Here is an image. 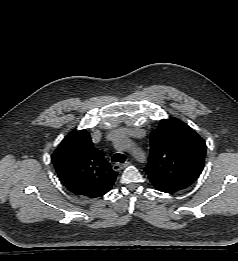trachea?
I'll return each instance as SVG.
<instances>
[{"mask_svg":"<svg viewBox=\"0 0 238 261\" xmlns=\"http://www.w3.org/2000/svg\"><path fill=\"white\" fill-rule=\"evenodd\" d=\"M125 155L121 154V153H116L112 156V162H119V163H124L125 161Z\"/></svg>","mask_w":238,"mask_h":261,"instance_id":"trachea-1","label":"trachea"}]
</instances>
